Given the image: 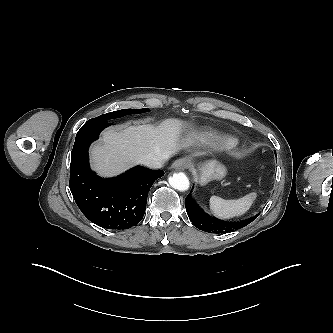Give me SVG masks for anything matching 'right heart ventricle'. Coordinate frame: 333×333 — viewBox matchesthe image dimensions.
Returning a JSON list of instances; mask_svg holds the SVG:
<instances>
[{
	"label": "right heart ventricle",
	"instance_id": "right-heart-ventricle-1",
	"mask_svg": "<svg viewBox=\"0 0 333 333\" xmlns=\"http://www.w3.org/2000/svg\"><path fill=\"white\" fill-rule=\"evenodd\" d=\"M220 138V135L216 132L204 130L197 133H194L191 136V140L197 143L208 144L212 143Z\"/></svg>",
	"mask_w": 333,
	"mask_h": 333
}]
</instances>
